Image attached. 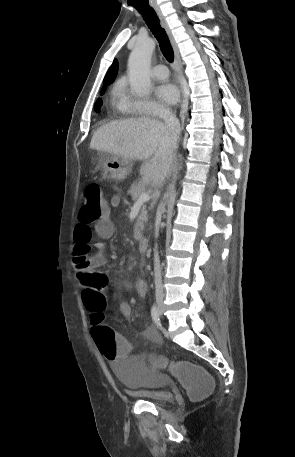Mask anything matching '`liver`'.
<instances>
[{
  "instance_id": "6515ba94",
  "label": "liver",
  "mask_w": 295,
  "mask_h": 457,
  "mask_svg": "<svg viewBox=\"0 0 295 457\" xmlns=\"http://www.w3.org/2000/svg\"><path fill=\"white\" fill-rule=\"evenodd\" d=\"M90 148L128 160H140L145 183L160 188L172 164L176 141L166 125L147 117L113 121L94 133Z\"/></svg>"
}]
</instances>
